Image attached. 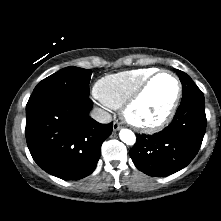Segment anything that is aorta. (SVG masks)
Instances as JSON below:
<instances>
[{
	"instance_id": "762f6f07",
	"label": "aorta",
	"mask_w": 221,
	"mask_h": 221,
	"mask_svg": "<svg viewBox=\"0 0 221 221\" xmlns=\"http://www.w3.org/2000/svg\"><path fill=\"white\" fill-rule=\"evenodd\" d=\"M119 137L121 141L127 145H133L136 142L135 134L129 129H122L119 133Z\"/></svg>"
}]
</instances>
